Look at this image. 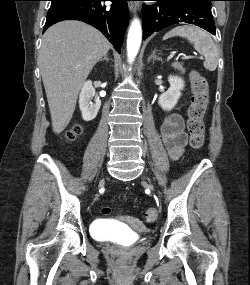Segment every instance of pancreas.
I'll use <instances>...</instances> for the list:
<instances>
[{"mask_svg": "<svg viewBox=\"0 0 250 285\" xmlns=\"http://www.w3.org/2000/svg\"><path fill=\"white\" fill-rule=\"evenodd\" d=\"M172 67L175 69V70H178L180 71L181 74H184L185 73V68L183 67V64L180 63V62H174L172 63Z\"/></svg>", "mask_w": 250, "mask_h": 285, "instance_id": "1", "label": "pancreas"}]
</instances>
